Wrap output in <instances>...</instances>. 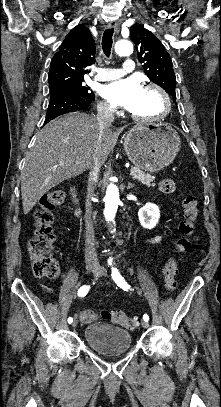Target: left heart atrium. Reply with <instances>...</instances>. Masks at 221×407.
I'll return each mask as SVG.
<instances>
[{
	"label": "left heart atrium",
	"instance_id": "obj_1",
	"mask_svg": "<svg viewBox=\"0 0 221 407\" xmlns=\"http://www.w3.org/2000/svg\"><path fill=\"white\" fill-rule=\"evenodd\" d=\"M142 91L139 79L129 77L104 86L102 95L114 105L132 109Z\"/></svg>",
	"mask_w": 221,
	"mask_h": 407
}]
</instances>
